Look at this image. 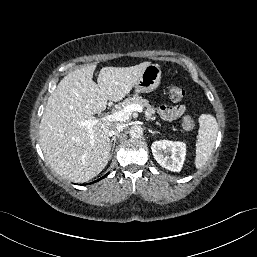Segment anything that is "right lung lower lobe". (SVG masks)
Listing matches in <instances>:
<instances>
[{
  "label": "right lung lower lobe",
  "instance_id": "98d812e1",
  "mask_svg": "<svg viewBox=\"0 0 257 257\" xmlns=\"http://www.w3.org/2000/svg\"><path fill=\"white\" fill-rule=\"evenodd\" d=\"M106 176H107V174H106V175H104L102 178L98 179V181H99V180H101V179H103V178H105Z\"/></svg>",
  "mask_w": 257,
  "mask_h": 257
}]
</instances>
